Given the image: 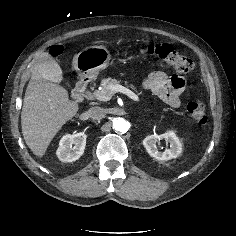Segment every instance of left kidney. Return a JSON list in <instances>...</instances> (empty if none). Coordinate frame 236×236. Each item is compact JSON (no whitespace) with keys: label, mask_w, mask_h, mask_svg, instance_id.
Returning <instances> with one entry per match:
<instances>
[{"label":"left kidney","mask_w":236,"mask_h":236,"mask_svg":"<svg viewBox=\"0 0 236 236\" xmlns=\"http://www.w3.org/2000/svg\"><path fill=\"white\" fill-rule=\"evenodd\" d=\"M162 139L170 143V148H166L163 152L159 151L156 147V143ZM143 145L148 154L157 160H170L177 158L182 152V143L173 131H167L161 135L154 134L147 136L143 140Z\"/></svg>","instance_id":"left-kidney-1"}]
</instances>
